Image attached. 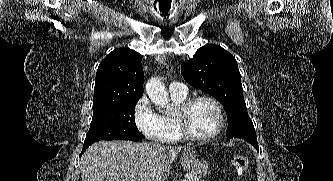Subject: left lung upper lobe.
<instances>
[{"label": "left lung upper lobe", "mask_w": 333, "mask_h": 181, "mask_svg": "<svg viewBox=\"0 0 333 181\" xmlns=\"http://www.w3.org/2000/svg\"><path fill=\"white\" fill-rule=\"evenodd\" d=\"M181 73L190 85L212 95L224 105L228 118L227 138L245 134L256 140L233 55L220 46L205 45L181 65Z\"/></svg>", "instance_id": "obj_1"}]
</instances>
